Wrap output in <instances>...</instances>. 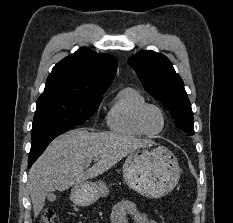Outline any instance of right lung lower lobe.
Wrapping results in <instances>:
<instances>
[{"instance_id":"right-lung-lower-lobe-1","label":"right lung lower lobe","mask_w":233,"mask_h":223,"mask_svg":"<svg viewBox=\"0 0 233 223\" xmlns=\"http://www.w3.org/2000/svg\"><path fill=\"white\" fill-rule=\"evenodd\" d=\"M41 154H42V153L29 155V158H28V165H29V168L32 166V164L35 162V160H36Z\"/></svg>"}]
</instances>
